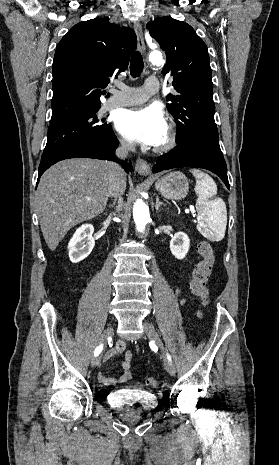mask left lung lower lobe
<instances>
[{
    "instance_id": "left-lung-lower-lobe-1",
    "label": "left lung lower lobe",
    "mask_w": 279,
    "mask_h": 465,
    "mask_svg": "<svg viewBox=\"0 0 279 465\" xmlns=\"http://www.w3.org/2000/svg\"><path fill=\"white\" fill-rule=\"evenodd\" d=\"M179 167L204 168L217 174L229 189L227 166L223 154L195 143L178 144L170 152L160 156L153 167L154 173Z\"/></svg>"
}]
</instances>
